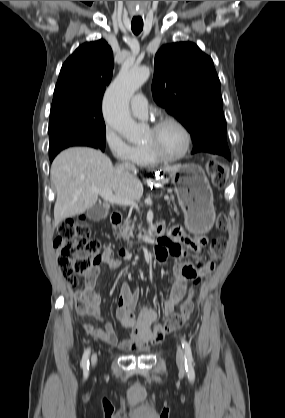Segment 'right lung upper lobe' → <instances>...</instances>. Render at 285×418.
<instances>
[{
	"mask_svg": "<svg viewBox=\"0 0 285 418\" xmlns=\"http://www.w3.org/2000/svg\"><path fill=\"white\" fill-rule=\"evenodd\" d=\"M113 53L104 40L84 43L63 64L52 105H100L113 73Z\"/></svg>",
	"mask_w": 285,
	"mask_h": 418,
	"instance_id": "right-lung-upper-lobe-1",
	"label": "right lung upper lobe"
}]
</instances>
